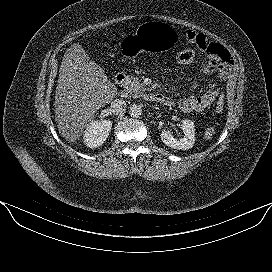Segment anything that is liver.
I'll return each mask as SVG.
<instances>
[{"mask_svg": "<svg viewBox=\"0 0 272 272\" xmlns=\"http://www.w3.org/2000/svg\"><path fill=\"white\" fill-rule=\"evenodd\" d=\"M116 93L103 68L73 44L63 56L55 93V121L62 137L71 143L79 140L97 110Z\"/></svg>", "mask_w": 272, "mask_h": 272, "instance_id": "liver-1", "label": "liver"}]
</instances>
